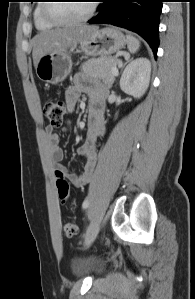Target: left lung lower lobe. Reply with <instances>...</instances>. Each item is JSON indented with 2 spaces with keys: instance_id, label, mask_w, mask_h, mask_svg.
<instances>
[{
  "instance_id": "obj_1",
  "label": "left lung lower lobe",
  "mask_w": 195,
  "mask_h": 299,
  "mask_svg": "<svg viewBox=\"0 0 195 299\" xmlns=\"http://www.w3.org/2000/svg\"><path fill=\"white\" fill-rule=\"evenodd\" d=\"M99 14L90 24H112L142 36L155 56L159 46V18L163 0H101Z\"/></svg>"
}]
</instances>
